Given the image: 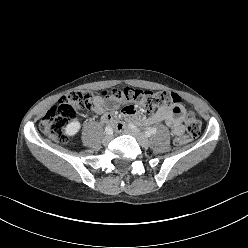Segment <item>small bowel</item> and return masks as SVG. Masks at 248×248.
Returning <instances> with one entry per match:
<instances>
[{"mask_svg":"<svg viewBox=\"0 0 248 248\" xmlns=\"http://www.w3.org/2000/svg\"><path fill=\"white\" fill-rule=\"evenodd\" d=\"M121 106L119 99L112 100L96 96L93 100L92 112L101 117V120L116 129H122L123 123L114 117L115 108ZM123 114L127 119L138 120L144 125L165 123L176 136L182 135L184 128L182 122L185 116V110L182 106H162L152 116L148 118H139L136 109L128 105L123 109Z\"/></svg>","mask_w":248,"mask_h":248,"instance_id":"small-bowel-1","label":"small bowel"}]
</instances>
